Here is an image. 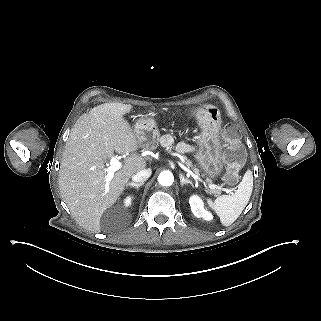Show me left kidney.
Instances as JSON below:
<instances>
[{
  "mask_svg": "<svg viewBox=\"0 0 321 321\" xmlns=\"http://www.w3.org/2000/svg\"><path fill=\"white\" fill-rule=\"evenodd\" d=\"M190 206L196 217H203L205 220L212 219L211 214L203 209L202 202L197 196H192L190 198Z\"/></svg>",
  "mask_w": 321,
  "mask_h": 321,
  "instance_id": "1",
  "label": "left kidney"
}]
</instances>
